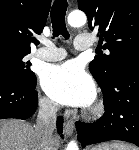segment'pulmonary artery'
Masks as SVG:
<instances>
[{
	"mask_svg": "<svg viewBox=\"0 0 139 150\" xmlns=\"http://www.w3.org/2000/svg\"><path fill=\"white\" fill-rule=\"evenodd\" d=\"M44 47L39 48L35 55L44 61H59L66 57V51L63 48H58L50 41H44ZM93 47L92 39L87 35H79L75 40L76 50H88Z\"/></svg>",
	"mask_w": 139,
	"mask_h": 150,
	"instance_id": "e3ab8cb5",
	"label": "pulmonary artery"
}]
</instances>
